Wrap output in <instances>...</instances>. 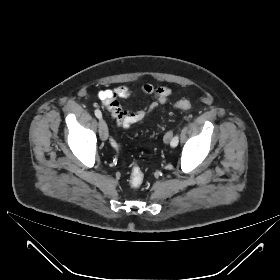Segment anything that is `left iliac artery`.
I'll return each mask as SVG.
<instances>
[{
	"label": "left iliac artery",
	"mask_w": 280,
	"mask_h": 280,
	"mask_svg": "<svg viewBox=\"0 0 280 280\" xmlns=\"http://www.w3.org/2000/svg\"><path fill=\"white\" fill-rule=\"evenodd\" d=\"M178 142H179V137L178 135H176L171 141V146L176 147L178 145Z\"/></svg>",
	"instance_id": "1"
}]
</instances>
